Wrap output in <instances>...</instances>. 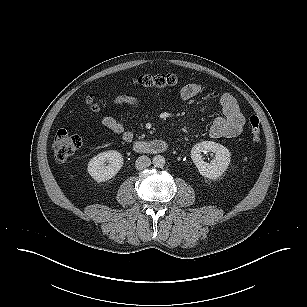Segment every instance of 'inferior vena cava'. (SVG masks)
Masks as SVG:
<instances>
[{"label":"inferior vena cava","mask_w":307,"mask_h":307,"mask_svg":"<svg viewBox=\"0 0 307 307\" xmlns=\"http://www.w3.org/2000/svg\"><path fill=\"white\" fill-rule=\"evenodd\" d=\"M151 165V160L148 156H140L137 158L135 166L138 170H143Z\"/></svg>","instance_id":"obj_1"}]
</instances>
